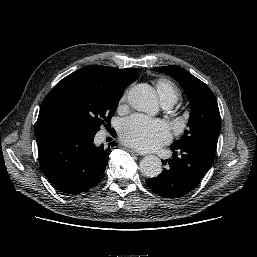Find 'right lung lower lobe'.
Masks as SVG:
<instances>
[{"label":"right lung lower lobe","mask_w":257,"mask_h":257,"mask_svg":"<svg viewBox=\"0 0 257 257\" xmlns=\"http://www.w3.org/2000/svg\"><path fill=\"white\" fill-rule=\"evenodd\" d=\"M95 134L62 128L37 142L41 169L56 189L72 195L85 193L104 178L115 142L96 146Z\"/></svg>","instance_id":"obj_1"}]
</instances>
